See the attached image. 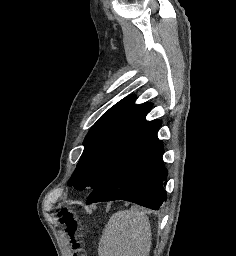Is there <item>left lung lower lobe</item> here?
<instances>
[{"instance_id": "1", "label": "left lung lower lobe", "mask_w": 236, "mask_h": 256, "mask_svg": "<svg viewBox=\"0 0 236 256\" xmlns=\"http://www.w3.org/2000/svg\"><path fill=\"white\" fill-rule=\"evenodd\" d=\"M160 120L146 122L127 144L108 175L93 189L86 204L126 200L157 210L166 200L167 170Z\"/></svg>"}]
</instances>
